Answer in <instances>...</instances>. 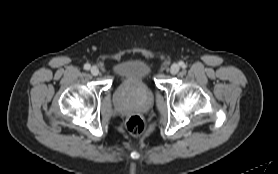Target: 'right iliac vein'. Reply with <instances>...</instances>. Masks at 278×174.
Returning <instances> with one entry per match:
<instances>
[{
  "mask_svg": "<svg viewBox=\"0 0 278 174\" xmlns=\"http://www.w3.org/2000/svg\"><path fill=\"white\" fill-rule=\"evenodd\" d=\"M90 72L93 76H97L99 74V69L96 66H93L91 67Z\"/></svg>",
  "mask_w": 278,
  "mask_h": 174,
  "instance_id": "obj_1",
  "label": "right iliac vein"
}]
</instances>
